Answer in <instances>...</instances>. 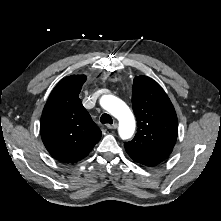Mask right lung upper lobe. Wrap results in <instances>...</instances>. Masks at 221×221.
Wrapping results in <instances>:
<instances>
[{
    "label": "right lung upper lobe",
    "instance_id": "obj_1",
    "mask_svg": "<svg viewBox=\"0 0 221 221\" xmlns=\"http://www.w3.org/2000/svg\"><path fill=\"white\" fill-rule=\"evenodd\" d=\"M85 75L61 80L43 109L40 132L48 152L64 163L85 158L101 138V130L83 107L78 95Z\"/></svg>",
    "mask_w": 221,
    "mask_h": 221
}]
</instances>
